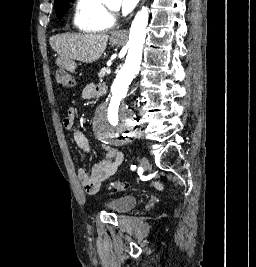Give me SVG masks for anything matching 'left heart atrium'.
Here are the masks:
<instances>
[{
  "label": "left heart atrium",
  "mask_w": 256,
  "mask_h": 267,
  "mask_svg": "<svg viewBox=\"0 0 256 267\" xmlns=\"http://www.w3.org/2000/svg\"><path fill=\"white\" fill-rule=\"evenodd\" d=\"M135 1L136 0H118L121 12L123 14L131 12Z\"/></svg>",
  "instance_id": "39dd6f15"
}]
</instances>
